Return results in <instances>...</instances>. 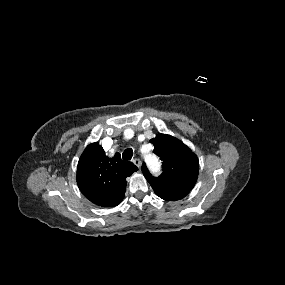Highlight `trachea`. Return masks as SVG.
Here are the masks:
<instances>
[{"mask_svg": "<svg viewBox=\"0 0 285 285\" xmlns=\"http://www.w3.org/2000/svg\"><path fill=\"white\" fill-rule=\"evenodd\" d=\"M122 157L124 160H131L133 157V150L131 148L126 149L123 152Z\"/></svg>", "mask_w": 285, "mask_h": 285, "instance_id": "1", "label": "trachea"}]
</instances>
